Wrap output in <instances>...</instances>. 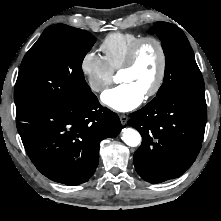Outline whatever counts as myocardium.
Here are the masks:
<instances>
[{"label":"myocardium","instance_id":"obj_1","mask_svg":"<svg viewBox=\"0 0 221 221\" xmlns=\"http://www.w3.org/2000/svg\"><path fill=\"white\" fill-rule=\"evenodd\" d=\"M146 43H153L156 45L158 52H159V57H160V64H159V70L157 74V78L153 84V86L144 94L145 97L150 98L155 96L161 89L165 76H166V70H167V54L165 47L162 43L161 40L154 36H144L141 37L139 40H137L133 46L130 48L126 59L120 68V71L128 70L131 69L137 61L138 55L142 47Z\"/></svg>","mask_w":221,"mask_h":221}]
</instances>
